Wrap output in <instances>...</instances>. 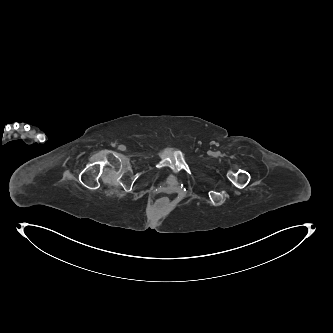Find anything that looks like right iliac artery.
Listing matches in <instances>:
<instances>
[{"label": "right iliac artery", "mask_w": 333, "mask_h": 333, "mask_svg": "<svg viewBox=\"0 0 333 333\" xmlns=\"http://www.w3.org/2000/svg\"><path fill=\"white\" fill-rule=\"evenodd\" d=\"M118 149L121 151H124V150H126V147L124 145H119Z\"/></svg>", "instance_id": "1"}]
</instances>
